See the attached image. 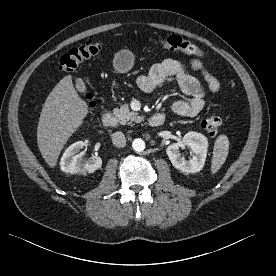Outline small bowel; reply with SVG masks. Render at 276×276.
Here are the masks:
<instances>
[{"mask_svg": "<svg viewBox=\"0 0 276 276\" xmlns=\"http://www.w3.org/2000/svg\"><path fill=\"white\" fill-rule=\"evenodd\" d=\"M191 71L199 73L205 85ZM170 77L174 78L181 90L189 96L188 100L176 99L171 103L170 111L177 116L197 115L205 106L206 94H216L220 89L219 81L198 59H191L188 67L178 60L165 59L153 65L146 74L141 75L137 84L142 91L149 93Z\"/></svg>", "mask_w": 276, "mask_h": 276, "instance_id": "small-bowel-1", "label": "small bowel"}]
</instances>
